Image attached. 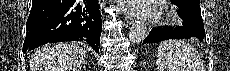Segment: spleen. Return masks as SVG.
Segmentation results:
<instances>
[{
  "instance_id": "1",
  "label": "spleen",
  "mask_w": 230,
  "mask_h": 71,
  "mask_svg": "<svg viewBox=\"0 0 230 71\" xmlns=\"http://www.w3.org/2000/svg\"><path fill=\"white\" fill-rule=\"evenodd\" d=\"M158 71H204L198 52L184 41L167 40L157 51Z\"/></svg>"
}]
</instances>
